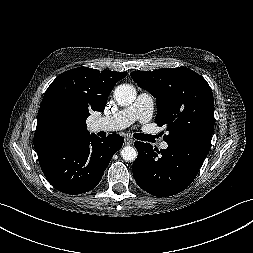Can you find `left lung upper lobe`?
<instances>
[{
	"instance_id": "5c2ea615",
	"label": "left lung upper lobe",
	"mask_w": 253,
	"mask_h": 253,
	"mask_svg": "<svg viewBox=\"0 0 253 253\" xmlns=\"http://www.w3.org/2000/svg\"><path fill=\"white\" fill-rule=\"evenodd\" d=\"M133 80L156 98L155 122L167 127L164 141L211 143L214 99L207 81L187 67L131 72Z\"/></svg>"
}]
</instances>
